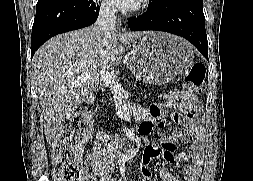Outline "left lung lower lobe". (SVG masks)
Wrapping results in <instances>:
<instances>
[{"label":"left lung lower lobe","mask_w":253,"mask_h":181,"mask_svg":"<svg viewBox=\"0 0 253 181\" xmlns=\"http://www.w3.org/2000/svg\"><path fill=\"white\" fill-rule=\"evenodd\" d=\"M132 31L157 30L184 37L208 60L203 0H161L128 21Z\"/></svg>","instance_id":"1"}]
</instances>
